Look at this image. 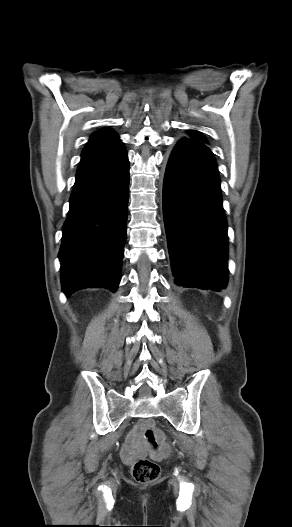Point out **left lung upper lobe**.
I'll use <instances>...</instances> for the list:
<instances>
[{"instance_id":"obj_1","label":"left lung upper lobe","mask_w":292,"mask_h":527,"mask_svg":"<svg viewBox=\"0 0 292 527\" xmlns=\"http://www.w3.org/2000/svg\"><path fill=\"white\" fill-rule=\"evenodd\" d=\"M189 134L192 137L196 138V139H189V140H195V141H198V142H200V141L206 142L205 138L197 131H194V130L193 131H189Z\"/></svg>"}]
</instances>
